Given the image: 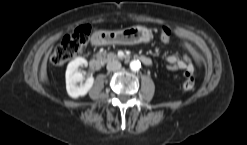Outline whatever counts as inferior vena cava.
<instances>
[{
  "label": "inferior vena cava",
  "instance_id": "602c4592",
  "mask_svg": "<svg viewBox=\"0 0 247 145\" xmlns=\"http://www.w3.org/2000/svg\"><path fill=\"white\" fill-rule=\"evenodd\" d=\"M121 68V63L118 60H112L107 63L108 71H116Z\"/></svg>",
  "mask_w": 247,
  "mask_h": 145
}]
</instances>
